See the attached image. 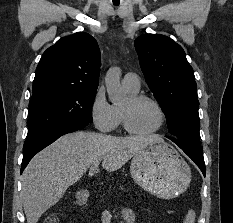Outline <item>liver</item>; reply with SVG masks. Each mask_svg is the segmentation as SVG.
I'll use <instances>...</instances> for the list:
<instances>
[{
    "mask_svg": "<svg viewBox=\"0 0 233 223\" xmlns=\"http://www.w3.org/2000/svg\"><path fill=\"white\" fill-rule=\"evenodd\" d=\"M152 141L151 135L115 137L95 131L66 133L32 157L22 173L21 199L27 223H37L70 185L81 181L92 163L101 161L105 171H117Z\"/></svg>",
    "mask_w": 233,
    "mask_h": 223,
    "instance_id": "obj_1",
    "label": "liver"
}]
</instances>
